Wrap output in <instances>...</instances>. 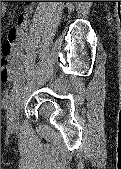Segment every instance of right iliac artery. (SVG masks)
<instances>
[{
	"instance_id": "1",
	"label": "right iliac artery",
	"mask_w": 121,
	"mask_h": 169,
	"mask_svg": "<svg viewBox=\"0 0 121 169\" xmlns=\"http://www.w3.org/2000/svg\"><path fill=\"white\" fill-rule=\"evenodd\" d=\"M24 78V74H20L18 77L15 78L14 80V87L12 89V94H14L17 89L19 88L20 84L22 83Z\"/></svg>"
}]
</instances>
